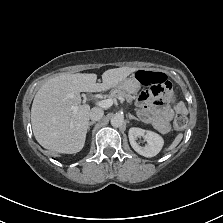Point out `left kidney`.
Segmentation results:
<instances>
[{"label":"left kidney","mask_w":223,"mask_h":223,"mask_svg":"<svg viewBox=\"0 0 223 223\" xmlns=\"http://www.w3.org/2000/svg\"><path fill=\"white\" fill-rule=\"evenodd\" d=\"M128 136L132 148L137 153L145 157L156 156L161 151L164 144V140L159 134L137 127L130 128ZM139 136L143 137L146 140V146L141 147L138 145L136 139Z\"/></svg>","instance_id":"1"}]
</instances>
